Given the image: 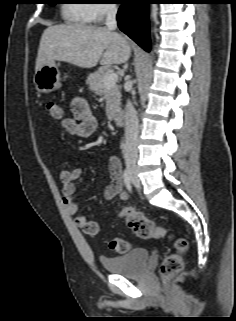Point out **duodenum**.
Here are the masks:
<instances>
[{
	"label": "duodenum",
	"instance_id": "410a0bca",
	"mask_svg": "<svg viewBox=\"0 0 236 321\" xmlns=\"http://www.w3.org/2000/svg\"><path fill=\"white\" fill-rule=\"evenodd\" d=\"M111 118L117 126L124 124V116L121 113H115Z\"/></svg>",
	"mask_w": 236,
	"mask_h": 321
}]
</instances>
